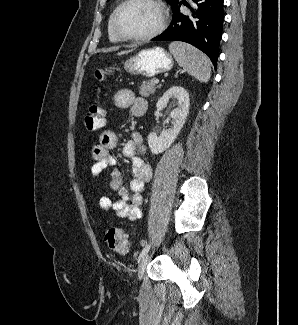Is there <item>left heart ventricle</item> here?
Masks as SVG:
<instances>
[{"mask_svg": "<svg viewBox=\"0 0 298 325\" xmlns=\"http://www.w3.org/2000/svg\"><path fill=\"white\" fill-rule=\"evenodd\" d=\"M157 22V14L152 7L147 4L134 3L121 11L117 27L125 37L135 38L151 31Z\"/></svg>", "mask_w": 298, "mask_h": 325, "instance_id": "obj_1", "label": "left heart ventricle"}]
</instances>
